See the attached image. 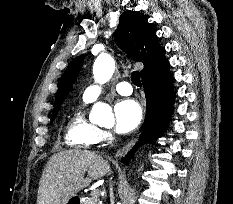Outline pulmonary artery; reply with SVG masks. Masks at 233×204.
<instances>
[{"label": "pulmonary artery", "mask_w": 233, "mask_h": 204, "mask_svg": "<svg viewBox=\"0 0 233 204\" xmlns=\"http://www.w3.org/2000/svg\"><path fill=\"white\" fill-rule=\"evenodd\" d=\"M115 90L124 96L130 95L133 91L132 86L128 82H119L114 86ZM103 87L98 84H92L88 86L83 94V97L92 102L97 99V97L103 92Z\"/></svg>", "instance_id": "obj_1"}]
</instances>
